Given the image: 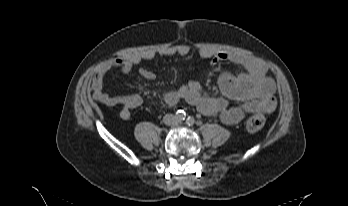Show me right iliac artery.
Masks as SVG:
<instances>
[{"label": "right iliac artery", "mask_w": 348, "mask_h": 206, "mask_svg": "<svg viewBox=\"0 0 348 206\" xmlns=\"http://www.w3.org/2000/svg\"><path fill=\"white\" fill-rule=\"evenodd\" d=\"M179 112H180V113L178 114V118H179L180 120H184L185 117H186L185 112H184V111H179Z\"/></svg>", "instance_id": "obj_1"}]
</instances>
